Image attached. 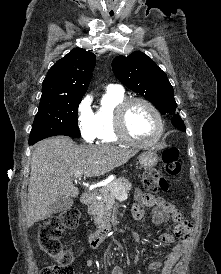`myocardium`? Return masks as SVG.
Instances as JSON below:
<instances>
[{"mask_svg":"<svg viewBox=\"0 0 221 274\" xmlns=\"http://www.w3.org/2000/svg\"><path fill=\"white\" fill-rule=\"evenodd\" d=\"M136 103H140L148 107L151 110V112L154 114L155 119L157 121V125H158L157 132L154 138L150 141H146V142L138 141L134 139L133 137H131L127 131V127H126L127 112L130 109V107ZM115 130H116L117 136L120 138L121 141L136 147L148 148L157 144L159 140L161 139L164 131V122H163V118L160 111L152 102H150L149 100L145 98L132 97L124 100L122 103L118 105L115 112Z\"/></svg>","mask_w":221,"mask_h":274,"instance_id":"1","label":"myocardium"}]
</instances>
